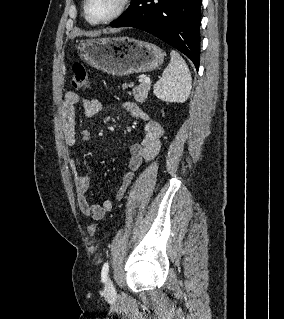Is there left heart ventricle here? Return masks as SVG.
Returning a JSON list of instances; mask_svg holds the SVG:
<instances>
[{"instance_id": "1", "label": "left heart ventricle", "mask_w": 284, "mask_h": 319, "mask_svg": "<svg viewBox=\"0 0 284 319\" xmlns=\"http://www.w3.org/2000/svg\"><path fill=\"white\" fill-rule=\"evenodd\" d=\"M117 3L118 0H89V16L94 20L105 19L113 13Z\"/></svg>"}]
</instances>
